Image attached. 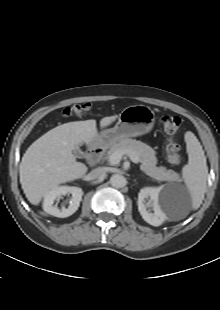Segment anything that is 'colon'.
<instances>
[{
	"label": "colon",
	"instance_id": "obj_1",
	"mask_svg": "<svg viewBox=\"0 0 220 310\" xmlns=\"http://www.w3.org/2000/svg\"><path fill=\"white\" fill-rule=\"evenodd\" d=\"M91 109L90 104H76L71 107L66 108L63 111V116H83L87 114ZM161 125L164 131L170 136L167 146L168 158L169 160L176 164L180 165L183 161V158L180 155V146L176 142L174 136L178 132L181 119L177 115L167 114L161 117Z\"/></svg>",
	"mask_w": 220,
	"mask_h": 310
}]
</instances>
